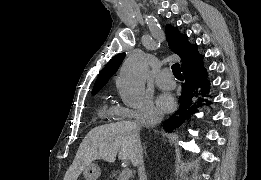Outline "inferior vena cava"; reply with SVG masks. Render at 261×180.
<instances>
[{
	"instance_id": "1",
	"label": "inferior vena cava",
	"mask_w": 261,
	"mask_h": 180,
	"mask_svg": "<svg viewBox=\"0 0 261 180\" xmlns=\"http://www.w3.org/2000/svg\"><path fill=\"white\" fill-rule=\"evenodd\" d=\"M131 164H133V166H136V168H138V174L140 178H144L145 172H144L142 148H139V150H137L135 158L131 160Z\"/></svg>"
}]
</instances>
